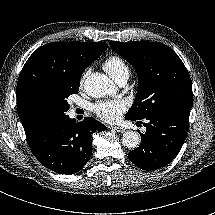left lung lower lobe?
Wrapping results in <instances>:
<instances>
[{
    "label": "left lung lower lobe",
    "mask_w": 215,
    "mask_h": 215,
    "mask_svg": "<svg viewBox=\"0 0 215 215\" xmlns=\"http://www.w3.org/2000/svg\"><path fill=\"white\" fill-rule=\"evenodd\" d=\"M190 109H175L150 115L143 125L141 144L129 152V159L140 169L150 171L169 164L180 151L189 127ZM126 118V117H125ZM127 119V118H126Z\"/></svg>",
    "instance_id": "0a47b994"
}]
</instances>
